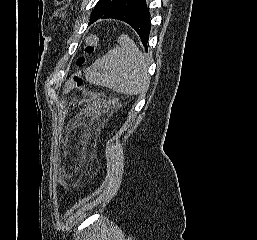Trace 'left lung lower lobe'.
Listing matches in <instances>:
<instances>
[{"label": "left lung lower lobe", "instance_id": "1", "mask_svg": "<svg viewBox=\"0 0 257 240\" xmlns=\"http://www.w3.org/2000/svg\"><path fill=\"white\" fill-rule=\"evenodd\" d=\"M107 18L120 20L130 25L147 49L151 24L146 0H120L101 17V19Z\"/></svg>", "mask_w": 257, "mask_h": 240}]
</instances>
